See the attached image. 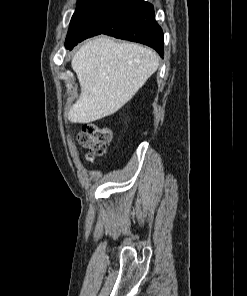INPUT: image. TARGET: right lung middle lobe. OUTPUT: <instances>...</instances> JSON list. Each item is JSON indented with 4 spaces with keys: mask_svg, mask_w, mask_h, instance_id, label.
Listing matches in <instances>:
<instances>
[{
    "mask_svg": "<svg viewBox=\"0 0 247 296\" xmlns=\"http://www.w3.org/2000/svg\"><path fill=\"white\" fill-rule=\"evenodd\" d=\"M110 0H78V5L71 19L65 46L72 49L88 33V23L95 18Z\"/></svg>",
    "mask_w": 247,
    "mask_h": 296,
    "instance_id": "right-lung-middle-lobe-1",
    "label": "right lung middle lobe"
}]
</instances>
